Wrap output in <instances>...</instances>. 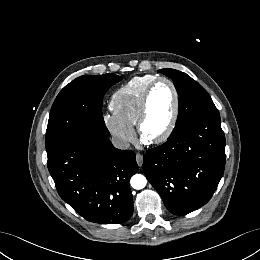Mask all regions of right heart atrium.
Wrapping results in <instances>:
<instances>
[{"instance_id": "d8ad5b80", "label": "right heart atrium", "mask_w": 260, "mask_h": 260, "mask_svg": "<svg viewBox=\"0 0 260 260\" xmlns=\"http://www.w3.org/2000/svg\"><path fill=\"white\" fill-rule=\"evenodd\" d=\"M103 122L120 146H127L135 139L133 126L129 125L113 112L103 115Z\"/></svg>"}]
</instances>
